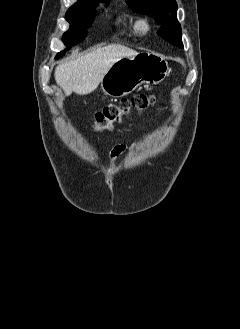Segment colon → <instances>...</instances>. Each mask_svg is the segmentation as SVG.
<instances>
[{"mask_svg": "<svg viewBox=\"0 0 240 329\" xmlns=\"http://www.w3.org/2000/svg\"><path fill=\"white\" fill-rule=\"evenodd\" d=\"M154 100L152 96L139 94L130 99H123L119 105H108L97 112L96 125L99 128H109L113 123L121 120L124 112H129L132 109L143 111L147 109Z\"/></svg>", "mask_w": 240, "mask_h": 329, "instance_id": "obj_1", "label": "colon"}]
</instances>
